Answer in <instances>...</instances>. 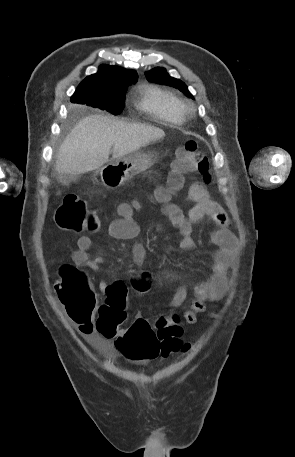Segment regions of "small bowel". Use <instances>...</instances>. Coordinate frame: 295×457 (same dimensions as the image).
I'll return each mask as SVG.
<instances>
[{
    "mask_svg": "<svg viewBox=\"0 0 295 457\" xmlns=\"http://www.w3.org/2000/svg\"><path fill=\"white\" fill-rule=\"evenodd\" d=\"M189 198L195 203L194 206L185 213L179 206L170 202L168 199L161 201V211L170 220L171 224L177 229L181 236L180 247L184 250L194 248L192 232L194 225L202 218L209 217L218 228L211 234V242L216 247L212 254L211 276L208 280L197 284L194 287V300L189 309L183 315L185 325H194L198 321L200 314L206 311V302L219 300L227 290V269L236 246V237L230 230V220L226 211L215 202L208 190L200 183H193L188 190ZM137 205L122 204L118 212L124 207ZM114 219L107 228L109 237L118 240H130L137 237L140 233V227L132 218L131 213L122 215ZM92 240L89 236H81L77 241V249L72 254L73 262L77 266H85L93 271H98L104 258L97 256L89 258L88 250L91 248ZM146 249L142 244L136 243L132 248V259L137 265H144L146 261ZM110 288L105 281L99 283L101 291H107ZM188 291L185 286H180L170 300V307L177 308L187 299ZM80 334L85 338H101L96 330L93 320L82 322L71 318Z\"/></svg>",
    "mask_w": 295,
    "mask_h": 457,
    "instance_id": "obj_1",
    "label": "small bowel"
}]
</instances>
